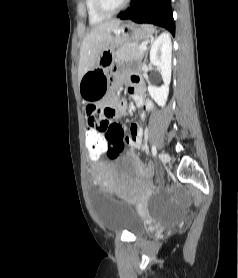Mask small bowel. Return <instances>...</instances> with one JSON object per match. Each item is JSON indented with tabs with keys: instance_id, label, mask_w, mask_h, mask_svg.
<instances>
[{
	"instance_id": "obj_1",
	"label": "small bowel",
	"mask_w": 238,
	"mask_h": 278,
	"mask_svg": "<svg viewBox=\"0 0 238 278\" xmlns=\"http://www.w3.org/2000/svg\"><path fill=\"white\" fill-rule=\"evenodd\" d=\"M125 74L117 73L112 81V86L117 88L123 79ZM130 83L129 93L133 96L136 105L146 110L151 109L152 105L145 100L143 95V83L139 75L130 74L127 76ZM127 110V103L125 101H117L116 96L111 94L102 103H89L86 107V113L88 116V130H97L99 137H105V141L110 144V137H121L123 143L129 145L132 148L138 149L143 143V129L139 123H133L128 129L121 124L113 122V117H121ZM106 113H114L112 116H108ZM145 115H142L144 119ZM118 126V127H113ZM127 130L128 136H125ZM137 170L142 169V165L139 160L136 159Z\"/></svg>"
}]
</instances>
